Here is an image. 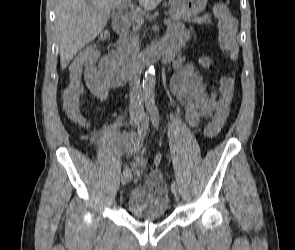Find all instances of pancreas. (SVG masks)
Masks as SVG:
<instances>
[{
    "instance_id": "obj_1",
    "label": "pancreas",
    "mask_w": 295,
    "mask_h": 250,
    "mask_svg": "<svg viewBox=\"0 0 295 250\" xmlns=\"http://www.w3.org/2000/svg\"><path fill=\"white\" fill-rule=\"evenodd\" d=\"M169 15V25L177 24L180 22L181 19L185 21L204 24V23H211L210 15L206 14L202 17H194L190 19L189 17H182L179 14H176L172 11L168 12ZM141 25L137 22H133V31L129 34L127 39V49L129 52H135L139 50V30Z\"/></svg>"
}]
</instances>
